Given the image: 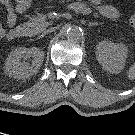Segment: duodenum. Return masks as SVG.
<instances>
[{"label":"duodenum","instance_id":"1","mask_svg":"<svg viewBox=\"0 0 135 135\" xmlns=\"http://www.w3.org/2000/svg\"><path fill=\"white\" fill-rule=\"evenodd\" d=\"M26 31L24 29H15L12 38H19L24 36Z\"/></svg>","mask_w":135,"mask_h":135}]
</instances>
